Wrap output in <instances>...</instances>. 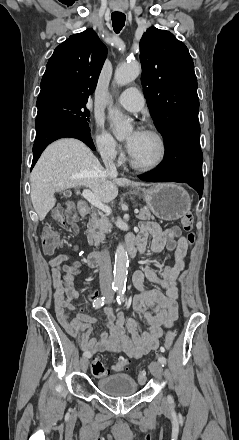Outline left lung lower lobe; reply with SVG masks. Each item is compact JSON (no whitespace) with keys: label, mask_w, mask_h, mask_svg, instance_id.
Segmentation results:
<instances>
[{"label":"left lung lower lobe","mask_w":239,"mask_h":440,"mask_svg":"<svg viewBox=\"0 0 239 440\" xmlns=\"http://www.w3.org/2000/svg\"><path fill=\"white\" fill-rule=\"evenodd\" d=\"M200 125L180 124L165 136L166 152L161 166L140 179L150 182H184L193 187L201 198L203 192Z\"/></svg>","instance_id":"obj_1"}]
</instances>
